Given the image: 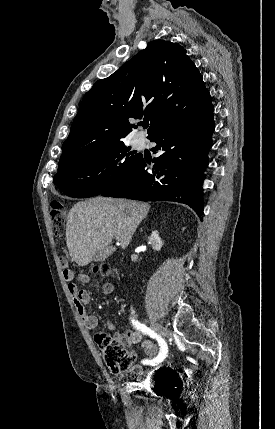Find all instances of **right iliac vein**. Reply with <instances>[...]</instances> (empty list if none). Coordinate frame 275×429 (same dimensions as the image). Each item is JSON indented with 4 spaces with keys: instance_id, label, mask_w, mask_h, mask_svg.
Masks as SVG:
<instances>
[{
    "instance_id": "right-iliac-vein-1",
    "label": "right iliac vein",
    "mask_w": 275,
    "mask_h": 429,
    "mask_svg": "<svg viewBox=\"0 0 275 429\" xmlns=\"http://www.w3.org/2000/svg\"><path fill=\"white\" fill-rule=\"evenodd\" d=\"M152 327L160 337H164L167 335V330L162 325L156 322H152Z\"/></svg>"
}]
</instances>
